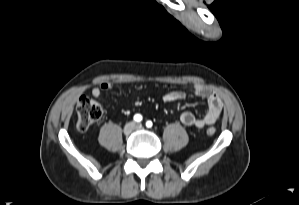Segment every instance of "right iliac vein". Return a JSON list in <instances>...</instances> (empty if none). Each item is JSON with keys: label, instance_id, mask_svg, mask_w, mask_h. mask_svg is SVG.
I'll use <instances>...</instances> for the list:
<instances>
[{"label": "right iliac vein", "instance_id": "1", "mask_svg": "<svg viewBox=\"0 0 299 205\" xmlns=\"http://www.w3.org/2000/svg\"><path fill=\"white\" fill-rule=\"evenodd\" d=\"M135 129V124L133 122H129L124 126V134L125 135H129L133 132V130Z\"/></svg>", "mask_w": 299, "mask_h": 205}]
</instances>
